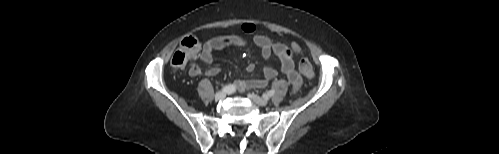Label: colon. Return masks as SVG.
Wrapping results in <instances>:
<instances>
[{
    "label": "colon",
    "mask_w": 499,
    "mask_h": 154,
    "mask_svg": "<svg viewBox=\"0 0 499 154\" xmlns=\"http://www.w3.org/2000/svg\"><path fill=\"white\" fill-rule=\"evenodd\" d=\"M291 47L295 51H300L301 48L298 44L292 43ZM201 50V43L197 36L189 35L185 37L179 47L174 52L171 64L173 67H183L185 66L192 58H194ZM299 69L303 76L308 79H312L315 76L313 67L311 62L303 58L299 63Z\"/></svg>",
    "instance_id": "obj_1"
}]
</instances>
